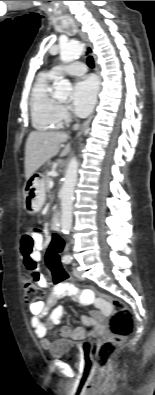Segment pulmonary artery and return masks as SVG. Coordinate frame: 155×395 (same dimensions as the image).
Wrapping results in <instances>:
<instances>
[{
    "label": "pulmonary artery",
    "instance_id": "obj_1",
    "mask_svg": "<svg viewBox=\"0 0 155 395\" xmlns=\"http://www.w3.org/2000/svg\"><path fill=\"white\" fill-rule=\"evenodd\" d=\"M86 66L81 62H74L67 66H55L51 69L50 73L59 78L62 75H73V76H81L85 74Z\"/></svg>",
    "mask_w": 155,
    "mask_h": 395
}]
</instances>
